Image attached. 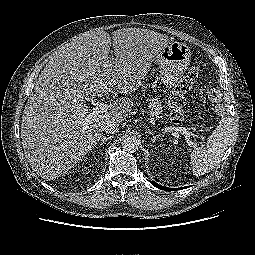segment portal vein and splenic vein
I'll return each mask as SVG.
<instances>
[{"label": "portal vein and splenic vein", "mask_w": 255, "mask_h": 255, "mask_svg": "<svg viewBox=\"0 0 255 255\" xmlns=\"http://www.w3.org/2000/svg\"><path fill=\"white\" fill-rule=\"evenodd\" d=\"M108 109H109V105L106 104V103L101 102L95 108H93V111L90 113V115L91 116H97L99 114L107 112ZM150 123L155 125V120H154L153 117L150 118ZM164 131H166V132L175 131L177 133L183 134L186 137L188 144L192 147H195V144L189 140L190 135H191L190 132H188L185 128L170 126V127L164 128ZM201 139L204 140V137H201Z\"/></svg>", "instance_id": "1"}]
</instances>
